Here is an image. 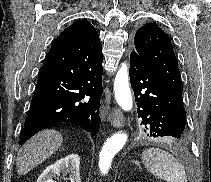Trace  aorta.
Segmentation results:
<instances>
[{"label":"aorta","mask_w":211,"mask_h":182,"mask_svg":"<svg viewBox=\"0 0 211 182\" xmlns=\"http://www.w3.org/2000/svg\"><path fill=\"white\" fill-rule=\"evenodd\" d=\"M115 99L124 111H130L133 106L132 95L129 88V75L126 63L118 70L114 81ZM127 134L118 132L107 139L99 157V169L106 174L111 166L113 157L124 147Z\"/></svg>","instance_id":"obj_1"}]
</instances>
